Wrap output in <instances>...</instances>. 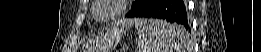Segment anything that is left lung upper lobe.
Here are the masks:
<instances>
[{
	"label": "left lung upper lobe",
	"mask_w": 261,
	"mask_h": 52,
	"mask_svg": "<svg viewBox=\"0 0 261 52\" xmlns=\"http://www.w3.org/2000/svg\"><path fill=\"white\" fill-rule=\"evenodd\" d=\"M153 0H136L131 11L127 14V17H135L143 8L148 6Z\"/></svg>",
	"instance_id": "5c2ea615"
}]
</instances>
